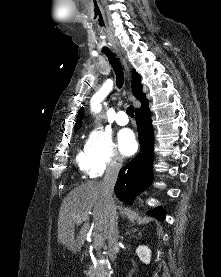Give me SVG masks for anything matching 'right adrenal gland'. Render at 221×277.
Segmentation results:
<instances>
[{"label":"right adrenal gland","mask_w":221,"mask_h":277,"mask_svg":"<svg viewBox=\"0 0 221 277\" xmlns=\"http://www.w3.org/2000/svg\"><path fill=\"white\" fill-rule=\"evenodd\" d=\"M137 231H138L137 229H132V232H133V233H135V232H137Z\"/></svg>","instance_id":"1"}]
</instances>
